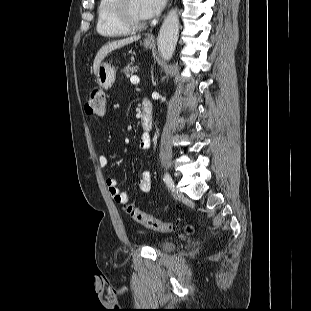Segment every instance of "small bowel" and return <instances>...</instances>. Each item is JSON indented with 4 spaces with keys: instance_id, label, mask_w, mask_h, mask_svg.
<instances>
[{
    "instance_id": "small-bowel-1",
    "label": "small bowel",
    "mask_w": 311,
    "mask_h": 311,
    "mask_svg": "<svg viewBox=\"0 0 311 311\" xmlns=\"http://www.w3.org/2000/svg\"><path fill=\"white\" fill-rule=\"evenodd\" d=\"M151 138L149 133H143L139 140V147L141 150L145 151L150 148ZM98 163L100 167L105 168L109 165V159L105 155H100L98 158ZM106 187L112 199L119 204L128 203L130 200V195L126 192H122L117 184V180L113 177H108L105 180ZM151 185L150 173L148 170L142 171L140 178L138 180V187L142 193L148 192Z\"/></svg>"
}]
</instances>
